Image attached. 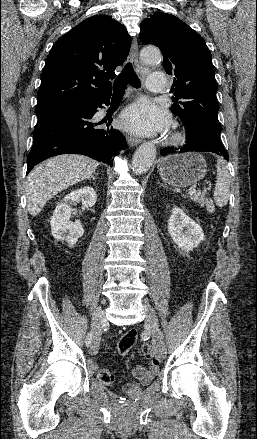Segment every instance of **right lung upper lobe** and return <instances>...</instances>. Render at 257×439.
Instances as JSON below:
<instances>
[{
    "label": "right lung upper lobe",
    "instance_id": "cb5924a9",
    "mask_svg": "<svg viewBox=\"0 0 257 439\" xmlns=\"http://www.w3.org/2000/svg\"><path fill=\"white\" fill-rule=\"evenodd\" d=\"M130 45L126 28L108 15L87 18L60 37L41 74L37 116L110 97V80Z\"/></svg>",
    "mask_w": 257,
    "mask_h": 439
}]
</instances>
